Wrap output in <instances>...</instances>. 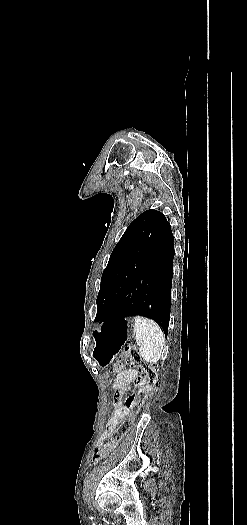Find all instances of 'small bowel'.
Masks as SVG:
<instances>
[{"mask_svg":"<svg viewBox=\"0 0 247 525\" xmlns=\"http://www.w3.org/2000/svg\"><path fill=\"white\" fill-rule=\"evenodd\" d=\"M139 373L136 369H125L118 373L113 388L116 391V398L113 404L112 414L107 423V431L103 434L98 442L94 455L93 462L98 463L108 455L103 445V441L109 437L112 429L119 423V421L126 415V409L121 403L123 389L138 377Z\"/></svg>","mask_w":247,"mask_h":525,"instance_id":"1","label":"small bowel"}]
</instances>
